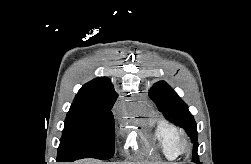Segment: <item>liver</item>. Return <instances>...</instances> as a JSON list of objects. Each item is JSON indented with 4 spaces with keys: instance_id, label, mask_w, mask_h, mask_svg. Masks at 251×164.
Here are the masks:
<instances>
[{
    "instance_id": "liver-1",
    "label": "liver",
    "mask_w": 251,
    "mask_h": 164,
    "mask_svg": "<svg viewBox=\"0 0 251 164\" xmlns=\"http://www.w3.org/2000/svg\"><path fill=\"white\" fill-rule=\"evenodd\" d=\"M73 164H104V163L94 161V160H84V161L75 162ZM122 164H134V163H122Z\"/></svg>"
}]
</instances>
